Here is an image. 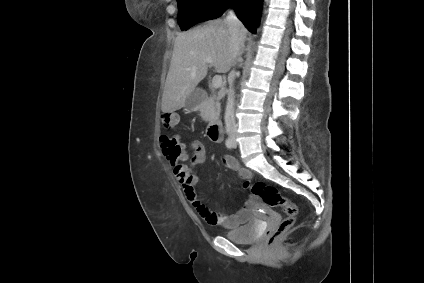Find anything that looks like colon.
Returning a JSON list of instances; mask_svg holds the SVG:
<instances>
[{"mask_svg": "<svg viewBox=\"0 0 424 283\" xmlns=\"http://www.w3.org/2000/svg\"><path fill=\"white\" fill-rule=\"evenodd\" d=\"M161 122L164 128L172 129L179 122V115L176 113H164L161 116ZM161 149L163 155L173 164L177 165L178 161L184 158L183 144L180 143L176 136L163 135L160 138ZM244 188L250 190L253 196L258 197L269 206L281 207L285 217L274 228L266 231L267 244L273 247L281 235L289 230L295 223L298 215V208L288 197L282 195L277 188L266 184L262 181L250 182L245 181Z\"/></svg>", "mask_w": 424, "mask_h": 283, "instance_id": "5ec220e1", "label": "colon"}]
</instances>
